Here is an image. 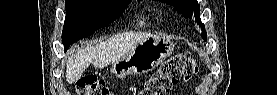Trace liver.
Wrapping results in <instances>:
<instances>
[{
    "mask_svg": "<svg viewBox=\"0 0 277 95\" xmlns=\"http://www.w3.org/2000/svg\"><path fill=\"white\" fill-rule=\"evenodd\" d=\"M154 37L146 32H125L114 35L94 46L79 49L67 59L66 80L69 84L81 78L90 64L104 68L120 60L141 41Z\"/></svg>",
    "mask_w": 277,
    "mask_h": 95,
    "instance_id": "liver-1",
    "label": "liver"
}]
</instances>
